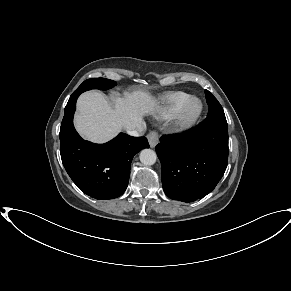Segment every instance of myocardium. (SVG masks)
I'll list each match as a JSON object with an SVG mask.
<instances>
[{"instance_id": "obj_1", "label": "myocardium", "mask_w": 291, "mask_h": 291, "mask_svg": "<svg viewBox=\"0 0 291 291\" xmlns=\"http://www.w3.org/2000/svg\"><path fill=\"white\" fill-rule=\"evenodd\" d=\"M204 104L201 99L192 97L175 117V126L184 131L192 128L203 113Z\"/></svg>"}]
</instances>
